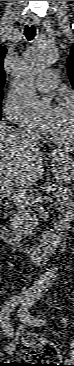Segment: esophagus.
I'll list each match as a JSON object with an SVG mask.
<instances>
[{
    "label": "esophagus",
    "mask_w": 74,
    "mask_h": 366,
    "mask_svg": "<svg viewBox=\"0 0 74 366\" xmlns=\"http://www.w3.org/2000/svg\"><path fill=\"white\" fill-rule=\"evenodd\" d=\"M39 22V20L35 17H29L27 20H26V23L28 25H33V24H37Z\"/></svg>",
    "instance_id": "obj_1"
}]
</instances>
